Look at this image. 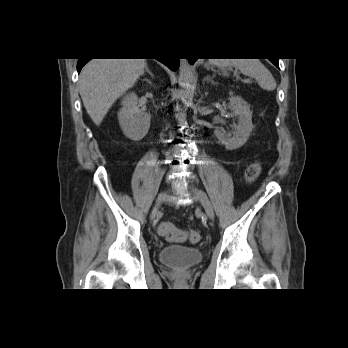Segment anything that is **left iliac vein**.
Here are the masks:
<instances>
[{
  "mask_svg": "<svg viewBox=\"0 0 348 348\" xmlns=\"http://www.w3.org/2000/svg\"><path fill=\"white\" fill-rule=\"evenodd\" d=\"M191 192L194 198L203 206L206 215L209 219L213 220L215 217L213 206L207 196V194L196 187H191Z\"/></svg>",
  "mask_w": 348,
  "mask_h": 348,
  "instance_id": "4c4485c4",
  "label": "left iliac vein"
}]
</instances>
